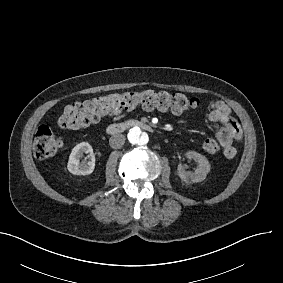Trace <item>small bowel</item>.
Instances as JSON below:
<instances>
[{
    "label": "small bowel",
    "instance_id": "small-bowel-1",
    "mask_svg": "<svg viewBox=\"0 0 283 283\" xmlns=\"http://www.w3.org/2000/svg\"><path fill=\"white\" fill-rule=\"evenodd\" d=\"M113 119H119L121 115H111ZM208 119L217 123L216 137L221 141L223 156L231 160L237 155L235 143L242 139V129L240 124L231 115L230 107L221 100L210 103Z\"/></svg>",
    "mask_w": 283,
    "mask_h": 283
}]
</instances>
